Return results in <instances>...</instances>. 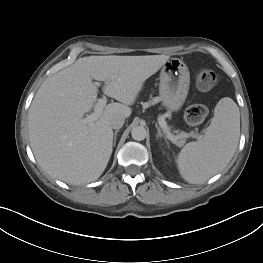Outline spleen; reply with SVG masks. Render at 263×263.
I'll use <instances>...</instances> for the list:
<instances>
[{
    "instance_id": "1",
    "label": "spleen",
    "mask_w": 263,
    "mask_h": 263,
    "mask_svg": "<svg viewBox=\"0 0 263 263\" xmlns=\"http://www.w3.org/2000/svg\"><path fill=\"white\" fill-rule=\"evenodd\" d=\"M239 136V108L231 98H222L203 139L187 143L180 151L177 165L181 176L199 184L221 171L232 159Z\"/></svg>"
}]
</instances>
